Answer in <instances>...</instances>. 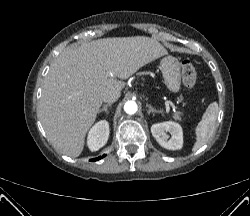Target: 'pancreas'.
Here are the masks:
<instances>
[{
	"label": "pancreas",
	"mask_w": 250,
	"mask_h": 216,
	"mask_svg": "<svg viewBox=\"0 0 250 216\" xmlns=\"http://www.w3.org/2000/svg\"><path fill=\"white\" fill-rule=\"evenodd\" d=\"M174 118L177 119V120H180V112H177L174 114Z\"/></svg>",
	"instance_id": "cf45deb5"
}]
</instances>
